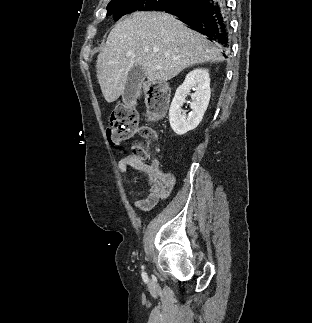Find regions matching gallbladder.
<instances>
[{
  "label": "gallbladder",
  "instance_id": "bac80fb5",
  "mask_svg": "<svg viewBox=\"0 0 312 323\" xmlns=\"http://www.w3.org/2000/svg\"><path fill=\"white\" fill-rule=\"evenodd\" d=\"M145 76V70H143L142 66H134L128 72L127 82L122 94V100L126 106H130L131 102L138 98Z\"/></svg>",
  "mask_w": 312,
  "mask_h": 323
}]
</instances>
